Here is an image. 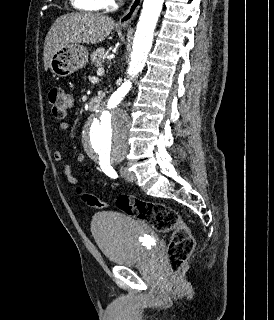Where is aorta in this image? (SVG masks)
<instances>
[{
  "mask_svg": "<svg viewBox=\"0 0 274 320\" xmlns=\"http://www.w3.org/2000/svg\"><path fill=\"white\" fill-rule=\"evenodd\" d=\"M164 0H144L133 41L128 80L111 95L106 108L83 131L84 149L93 160H121L128 151L129 117L121 103L132 87L131 79L144 68ZM130 78V79H129Z\"/></svg>",
  "mask_w": 274,
  "mask_h": 320,
  "instance_id": "1",
  "label": "aorta"
}]
</instances>
